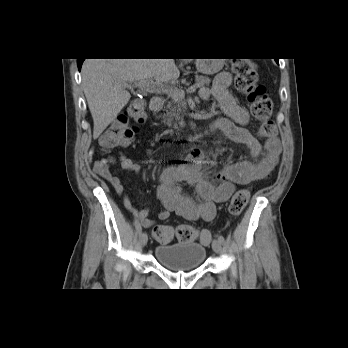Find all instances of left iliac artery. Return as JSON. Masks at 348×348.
Masks as SVG:
<instances>
[{"instance_id":"obj_1","label":"left iliac artery","mask_w":348,"mask_h":348,"mask_svg":"<svg viewBox=\"0 0 348 348\" xmlns=\"http://www.w3.org/2000/svg\"><path fill=\"white\" fill-rule=\"evenodd\" d=\"M218 240L221 242V243H224L225 242V239L222 235H219L218 236Z\"/></svg>"}]
</instances>
